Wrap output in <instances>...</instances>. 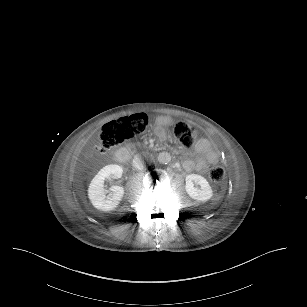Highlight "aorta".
<instances>
[{
	"label": "aorta",
	"instance_id": "1",
	"mask_svg": "<svg viewBox=\"0 0 307 307\" xmlns=\"http://www.w3.org/2000/svg\"><path fill=\"white\" fill-rule=\"evenodd\" d=\"M157 160L162 164H167L171 161V156L167 152H161L158 154Z\"/></svg>",
	"mask_w": 307,
	"mask_h": 307
}]
</instances>
